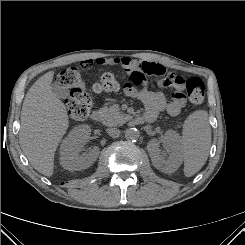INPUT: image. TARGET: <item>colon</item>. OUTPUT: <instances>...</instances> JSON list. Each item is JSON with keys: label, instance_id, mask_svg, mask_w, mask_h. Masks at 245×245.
Here are the masks:
<instances>
[{"label": "colon", "instance_id": "1", "mask_svg": "<svg viewBox=\"0 0 245 245\" xmlns=\"http://www.w3.org/2000/svg\"><path fill=\"white\" fill-rule=\"evenodd\" d=\"M130 81L134 85H140L144 81V76L140 73H133ZM57 83L61 87L71 90L66 104L70 116L75 120L85 119L93 106L92 98L86 92L84 82L80 72L76 67H68L57 76ZM188 98L193 104H200L204 99L205 87L202 79L191 77L185 83ZM119 88L116 77L109 72L102 74L94 85V90L98 93L114 92Z\"/></svg>", "mask_w": 245, "mask_h": 245}]
</instances>
